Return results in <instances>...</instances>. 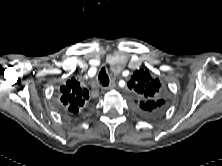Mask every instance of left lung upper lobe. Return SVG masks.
Returning a JSON list of instances; mask_svg holds the SVG:
<instances>
[{
  "mask_svg": "<svg viewBox=\"0 0 222 166\" xmlns=\"http://www.w3.org/2000/svg\"><path fill=\"white\" fill-rule=\"evenodd\" d=\"M128 87L138 94V104L146 112H154L164 104V101L158 98L161 84L157 78L151 76L149 70L135 71Z\"/></svg>",
  "mask_w": 222,
  "mask_h": 166,
  "instance_id": "left-lung-upper-lobe-1",
  "label": "left lung upper lobe"
}]
</instances>
